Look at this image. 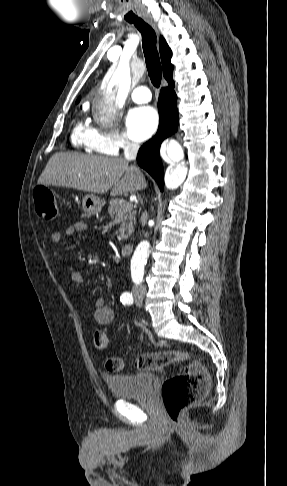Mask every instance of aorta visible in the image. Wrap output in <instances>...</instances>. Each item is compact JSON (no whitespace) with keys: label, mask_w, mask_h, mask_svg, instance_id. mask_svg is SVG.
Returning a JSON list of instances; mask_svg holds the SVG:
<instances>
[{"label":"aorta","mask_w":287,"mask_h":486,"mask_svg":"<svg viewBox=\"0 0 287 486\" xmlns=\"http://www.w3.org/2000/svg\"><path fill=\"white\" fill-rule=\"evenodd\" d=\"M131 86L130 67L121 61L106 87L96 97L94 102V116L101 123H111L121 112L123 101ZM168 155L177 163H171L165 176V186L168 189L178 188L185 180L187 167L180 160L183 159V150L180 144L171 140L167 145ZM150 254V244L147 240L141 241L131 260V274L138 279L144 270V265Z\"/></svg>","instance_id":"1"}]
</instances>
